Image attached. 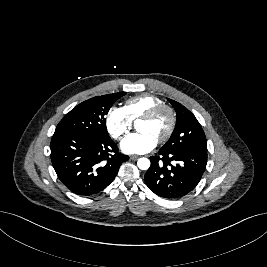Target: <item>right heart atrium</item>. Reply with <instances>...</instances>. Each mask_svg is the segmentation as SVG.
Masks as SVG:
<instances>
[{
	"label": "right heart atrium",
	"mask_w": 267,
	"mask_h": 267,
	"mask_svg": "<svg viewBox=\"0 0 267 267\" xmlns=\"http://www.w3.org/2000/svg\"><path fill=\"white\" fill-rule=\"evenodd\" d=\"M106 128L114 139H121L132 128V120L123 107H111L105 118Z\"/></svg>",
	"instance_id": "right-heart-atrium-1"
}]
</instances>
